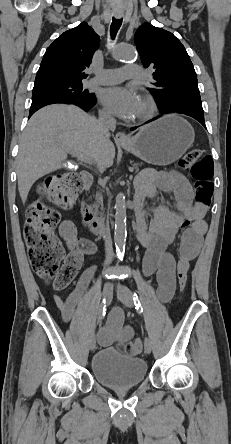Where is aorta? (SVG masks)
<instances>
[{
  "mask_svg": "<svg viewBox=\"0 0 231 444\" xmlns=\"http://www.w3.org/2000/svg\"><path fill=\"white\" fill-rule=\"evenodd\" d=\"M135 57L134 48L120 43L114 50V58L118 61H128ZM126 200L123 193H119L116 197L115 204V230L114 242L117 250V255L122 256V250L126 242Z\"/></svg>",
  "mask_w": 231,
  "mask_h": 444,
  "instance_id": "762f6f07",
  "label": "aorta"
}]
</instances>
